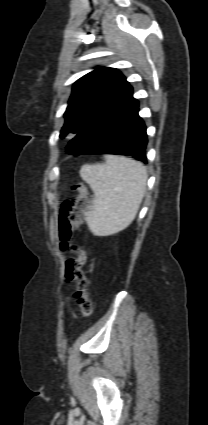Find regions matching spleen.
Returning <instances> with one entry per match:
<instances>
[{"instance_id":"1","label":"spleen","mask_w":208,"mask_h":425,"mask_svg":"<svg viewBox=\"0 0 208 425\" xmlns=\"http://www.w3.org/2000/svg\"><path fill=\"white\" fill-rule=\"evenodd\" d=\"M80 176L94 193L92 207L85 214L93 234L112 235L133 222L145 195L148 178L142 163L107 154L103 163L83 165Z\"/></svg>"}]
</instances>
